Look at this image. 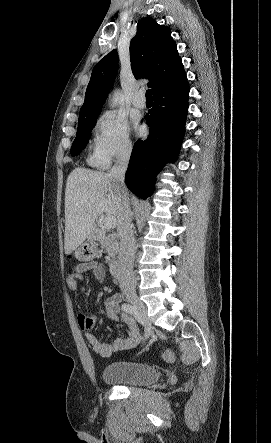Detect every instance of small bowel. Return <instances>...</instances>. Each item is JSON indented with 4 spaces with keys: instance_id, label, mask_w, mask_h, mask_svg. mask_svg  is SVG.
I'll return each mask as SVG.
<instances>
[{
    "instance_id": "obj_1",
    "label": "small bowel",
    "mask_w": 271,
    "mask_h": 443,
    "mask_svg": "<svg viewBox=\"0 0 271 443\" xmlns=\"http://www.w3.org/2000/svg\"><path fill=\"white\" fill-rule=\"evenodd\" d=\"M90 271L98 281H102L106 275V269L102 263L97 261L82 263L75 268L74 274L67 278L68 287L73 291L76 290L77 280H82L85 274ZM104 308L111 319L123 322L127 326L128 333L125 337L117 338L113 342H102L92 333L95 317L79 314L78 323L90 348L101 356H110L115 352L134 348L140 341L139 328L129 314L121 311L119 295L115 294L107 298L104 301Z\"/></svg>"
}]
</instances>
